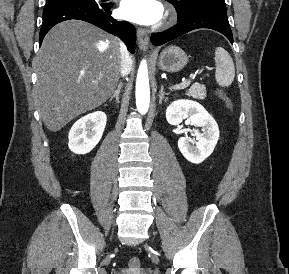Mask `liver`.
Masks as SVG:
<instances>
[{
  "mask_svg": "<svg viewBox=\"0 0 289 274\" xmlns=\"http://www.w3.org/2000/svg\"><path fill=\"white\" fill-rule=\"evenodd\" d=\"M35 66L34 100L47 129L57 132L113 94L121 73L120 44L86 22L65 21L45 36Z\"/></svg>",
  "mask_w": 289,
  "mask_h": 274,
  "instance_id": "6515ba94",
  "label": "liver"
}]
</instances>
